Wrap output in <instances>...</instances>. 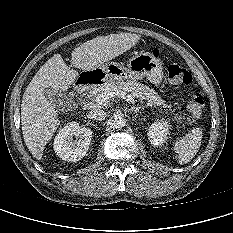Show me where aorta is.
I'll use <instances>...</instances> for the list:
<instances>
[{"label":"aorta","mask_w":233,"mask_h":233,"mask_svg":"<svg viewBox=\"0 0 233 233\" xmlns=\"http://www.w3.org/2000/svg\"><path fill=\"white\" fill-rule=\"evenodd\" d=\"M109 124H110L111 127L115 128V129H121V128H123L125 126L126 120H125L123 115L114 114L110 118Z\"/></svg>","instance_id":"aorta-1"}]
</instances>
